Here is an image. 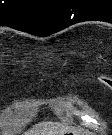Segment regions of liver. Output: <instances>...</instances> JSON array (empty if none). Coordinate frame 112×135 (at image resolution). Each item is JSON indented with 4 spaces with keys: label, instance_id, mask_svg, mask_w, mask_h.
<instances>
[{
    "label": "liver",
    "instance_id": "1",
    "mask_svg": "<svg viewBox=\"0 0 112 135\" xmlns=\"http://www.w3.org/2000/svg\"><path fill=\"white\" fill-rule=\"evenodd\" d=\"M64 131H60L59 134H63ZM30 135H36V134H30ZM41 135H58L57 132H49L48 134L42 133Z\"/></svg>",
    "mask_w": 112,
    "mask_h": 135
}]
</instances>
